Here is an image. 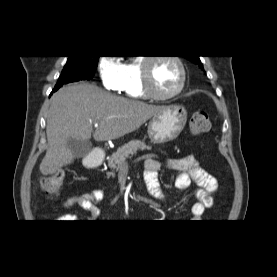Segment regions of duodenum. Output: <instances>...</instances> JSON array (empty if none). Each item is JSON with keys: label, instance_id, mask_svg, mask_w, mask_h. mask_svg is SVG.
Here are the masks:
<instances>
[{"label": "duodenum", "instance_id": "duodenum-1", "mask_svg": "<svg viewBox=\"0 0 277 277\" xmlns=\"http://www.w3.org/2000/svg\"><path fill=\"white\" fill-rule=\"evenodd\" d=\"M104 160V154L99 150L91 151L85 158L84 165L88 169L98 168Z\"/></svg>", "mask_w": 277, "mask_h": 277}]
</instances>
